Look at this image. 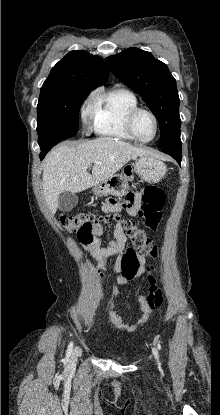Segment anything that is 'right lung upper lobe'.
Here are the masks:
<instances>
[{
  "label": "right lung upper lobe",
  "mask_w": 220,
  "mask_h": 415,
  "mask_svg": "<svg viewBox=\"0 0 220 415\" xmlns=\"http://www.w3.org/2000/svg\"><path fill=\"white\" fill-rule=\"evenodd\" d=\"M109 76L104 61L86 51L69 52L52 69L42 87H64L92 91Z\"/></svg>",
  "instance_id": "obj_1"
}]
</instances>
